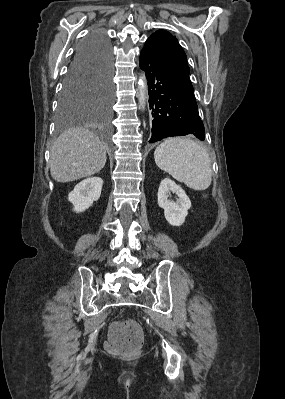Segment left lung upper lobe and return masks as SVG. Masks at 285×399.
<instances>
[{
  "mask_svg": "<svg viewBox=\"0 0 285 399\" xmlns=\"http://www.w3.org/2000/svg\"><path fill=\"white\" fill-rule=\"evenodd\" d=\"M143 50L159 60L175 78L193 89L186 54L171 33L165 30L156 31L147 39Z\"/></svg>",
  "mask_w": 285,
  "mask_h": 399,
  "instance_id": "obj_1",
  "label": "left lung upper lobe"
}]
</instances>
